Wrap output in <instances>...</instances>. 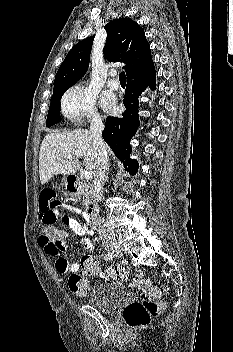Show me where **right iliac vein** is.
<instances>
[{
  "mask_svg": "<svg viewBox=\"0 0 233 352\" xmlns=\"http://www.w3.org/2000/svg\"><path fill=\"white\" fill-rule=\"evenodd\" d=\"M117 247H111L108 251L113 254V252L116 250Z\"/></svg>",
  "mask_w": 233,
  "mask_h": 352,
  "instance_id": "obj_1",
  "label": "right iliac vein"
}]
</instances>
